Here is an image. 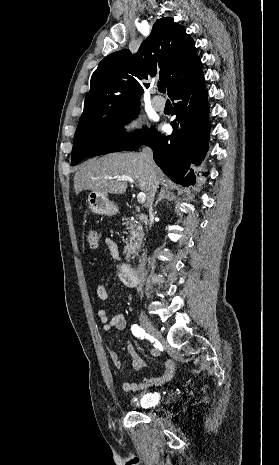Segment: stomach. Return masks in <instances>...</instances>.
<instances>
[{"label":"stomach","instance_id":"stomach-1","mask_svg":"<svg viewBox=\"0 0 279 465\" xmlns=\"http://www.w3.org/2000/svg\"><path fill=\"white\" fill-rule=\"evenodd\" d=\"M90 210L98 215H114L118 212V206L111 202L106 194L91 191L88 195Z\"/></svg>","mask_w":279,"mask_h":465}]
</instances>
